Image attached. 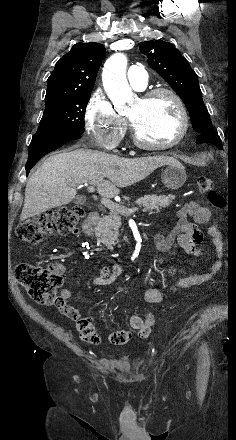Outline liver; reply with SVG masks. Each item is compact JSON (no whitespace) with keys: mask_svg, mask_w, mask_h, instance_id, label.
<instances>
[{"mask_svg":"<svg viewBox=\"0 0 236 440\" xmlns=\"http://www.w3.org/2000/svg\"><path fill=\"white\" fill-rule=\"evenodd\" d=\"M174 160L162 155L129 159L89 149L52 155L27 182L20 220L68 204L75 198L79 184L88 183L102 197L112 198L120 193L119 188L145 179Z\"/></svg>","mask_w":236,"mask_h":440,"instance_id":"6515ba94","label":"liver"}]
</instances>
